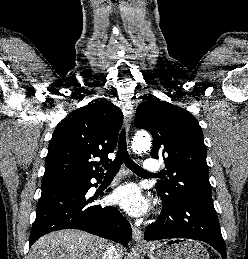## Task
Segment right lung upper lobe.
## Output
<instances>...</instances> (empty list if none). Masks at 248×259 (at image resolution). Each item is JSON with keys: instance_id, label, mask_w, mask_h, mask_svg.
<instances>
[{"instance_id": "right-lung-upper-lobe-1", "label": "right lung upper lobe", "mask_w": 248, "mask_h": 259, "mask_svg": "<svg viewBox=\"0 0 248 259\" xmlns=\"http://www.w3.org/2000/svg\"><path fill=\"white\" fill-rule=\"evenodd\" d=\"M123 121L119 108L97 101L74 110L56 127L49 143L42 186L77 182L103 176L100 164L117 144ZM99 157L101 161H93Z\"/></svg>"}]
</instances>
